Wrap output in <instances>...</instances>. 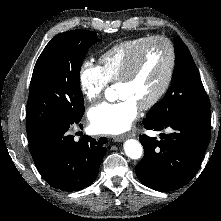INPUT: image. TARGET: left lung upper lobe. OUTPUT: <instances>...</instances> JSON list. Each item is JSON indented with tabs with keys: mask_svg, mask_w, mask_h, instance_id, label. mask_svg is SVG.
Segmentation results:
<instances>
[{
	"mask_svg": "<svg viewBox=\"0 0 221 221\" xmlns=\"http://www.w3.org/2000/svg\"><path fill=\"white\" fill-rule=\"evenodd\" d=\"M175 67L172 84L165 97L156 103L146 118L163 121L181 106L197 107L209 102L193 58L183 41L175 38Z\"/></svg>",
	"mask_w": 221,
	"mask_h": 221,
	"instance_id": "left-lung-upper-lobe-1",
	"label": "left lung upper lobe"
}]
</instances>
